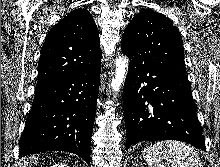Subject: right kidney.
Here are the masks:
<instances>
[{"instance_id": "right-kidney-1", "label": "right kidney", "mask_w": 220, "mask_h": 167, "mask_svg": "<svg viewBox=\"0 0 220 167\" xmlns=\"http://www.w3.org/2000/svg\"><path fill=\"white\" fill-rule=\"evenodd\" d=\"M52 167H68V166H67V164L60 162V163L55 164Z\"/></svg>"}]
</instances>
